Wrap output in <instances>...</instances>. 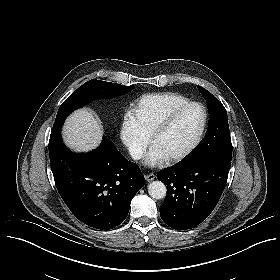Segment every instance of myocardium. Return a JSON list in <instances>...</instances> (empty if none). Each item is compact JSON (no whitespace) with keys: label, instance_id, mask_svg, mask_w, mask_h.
Masks as SVG:
<instances>
[{"label":"myocardium","instance_id":"myocardium-1","mask_svg":"<svg viewBox=\"0 0 280 280\" xmlns=\"http://www.w3.org/2000/svg\"><path fill=\"white\" fill-rule=\"evenodd\" d=\"M199 108V119H198V126L196 127V130L194 131L193 134H191L187 140L185 141V143L182 145V147L173 155H171L170 159L172 161H178L182 156H184L190 149V147L195 143V141L199 138L202 128H203V124H204V111L203 108L199 105H197ZM184 107L188 108V107H193V104L191 103H186L184 105ZM164 130V127H160L158 128L150 137L149 139V144L151 147L154 146L156 140L158 139L159 135L161 134V132Z\"/></svg>","mask_w":280,"mask_h":280}]
</instances>
